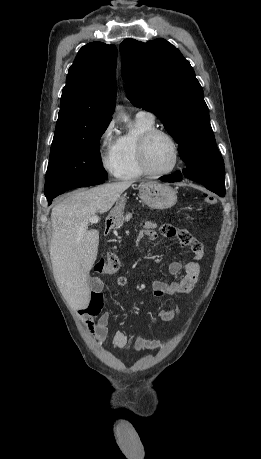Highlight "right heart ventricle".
Here are the masks:
<instances>
[{"label": "right heart ventricle", "mask_w": 261, "mask_h": 459, "mask_svg": "<svg viewBox=\"0 0 261 459\" xmlns=\"http://www.w3.org/2000/svg\"><path fill=\"white\" fill-rule=\"evenodd\" d=\"M154 128V119L136 117L130 131L117 138L115 151L118 159V178L132 180L145 174L138 160V142L145 132Z\"/></svg>", "instance_id": "1"}]
</instances>
